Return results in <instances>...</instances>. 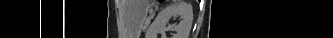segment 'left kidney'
I'll return each instance as SVG.
<instances>
[{
  "label": "left kidney",
  "mask_w": 333,
  "mask_h": 38,
  "mask_svg": "<svg viewBox=\"0 0 333 38\" xmlns=\"http://www.w3.org/2000/svg\"><path fill=\"white\" fill-rule=\"evenodd\" d=\"M180 17V22L175 25H168L171 17ZM193 22V12L190 4L184 1L171 3L163 8L149 27L151 36L165 32L171 28L175 33L173 38H188Z\"/></svg>",
  "instance_id": "left-kidney-1"
}]
</instances>
